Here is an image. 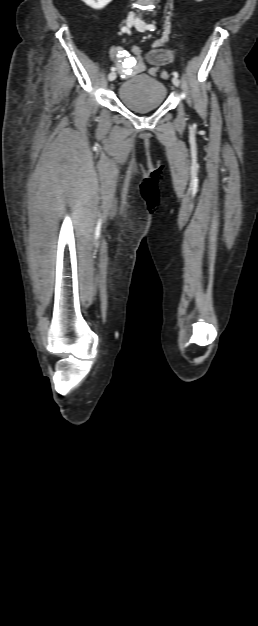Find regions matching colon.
I'll return each instance as SVG.
<instances>
[{
    "label": "colon",
    "instance_id": "5ec220e1",
    "mask_svg": "<svg viewBox=\"0 0 258 626\" xmlns=\"http://www.w3.org/2000/svg\"><path fill=\"white\" fill-rule=\"evenodd\" d=\"M132 51L136 55L141 54V50L138 47H133ZM171 59H172V54L166 48L155 49L150 55V60L153 63H158V64L168 63Z\"/></svg>",
    "mask_w": 258,
    "mask_h": 626
}]
</instances>
